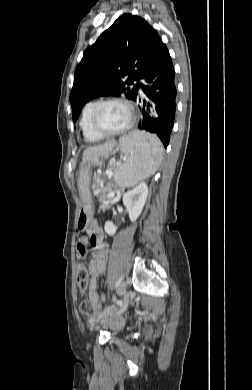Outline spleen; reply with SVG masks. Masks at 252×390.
<instances>
[{
	"instance_id": "3e777b00",
	"label": "spleen",
	"mask_w": 252,
	"mask_h": 390,
	"mask_svg": "<svg viewBox=\"0 0 252 390\" xmlns=\"http://www.w3.org/2000/svg\"><path fill=\"white\" fill-rule=\"evenodd\" d=\"M121 150L128 156L125 164L116 168L114 180L122 188H130L153 175L159 167L163 147L157 136L133 131L120 138Z\"/></svg>"
}]
</instances>
